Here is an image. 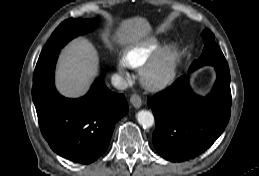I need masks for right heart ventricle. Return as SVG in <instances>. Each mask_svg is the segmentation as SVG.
Returning a JSON list of instances; mask_svg holds the SVG:
<instances>
[{
  "label": "right heart ventricle",
  "mask_w": 259,
  "mask_h": 176,
  "mask_svg": "<svg viewBox=\"0 0 259 176\" xmlns=\"http://www.w3.org/2000/svg\"><path fill=\"white\" fill-rule=\"evenodd\" d=\"M162 40L150 37L128 47L123 54L124 63L133 69L142 68L162 47Z\"/></svg>",
  "instance_id": "obj_1"
}]
</instances>
